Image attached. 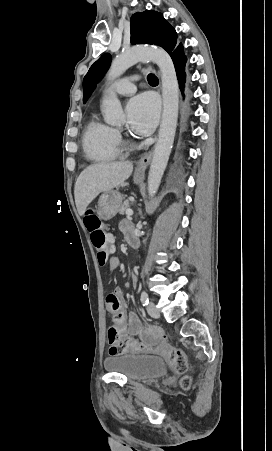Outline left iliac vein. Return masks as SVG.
<instances>
[{"label":"left iliac vein","mask_w":272,"mask_h":451,"mask_svg":"<svg viewBox=\"0 0 272 451\" xmlns=\"http://www.w3.org/2000/svg\"><path fill=\"white\" fill-rule=\"evenodd\" d=\"M147 312L153 318H158L160 315L159 310L156 308V306L153 302L148 303Z\"/></svg>","instance_id":"1"}]
</instances>
